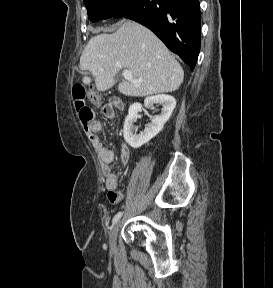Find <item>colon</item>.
<instances>
[{"instance_id":"1","label":"colon","mask_w":273,"mask_h":288,"mask_svg":"<svg viewBox=\"0 0 273 288\" xmlns=\"http://www.w3.org/2000/svg\"><path fill=\"white\" fill-rule=\"evenodd\" d=\"M72 97L77 109L79 118L82 124L87 128L94 117L93 110L86 104L85 100L87 97L86 90L81 85H75L72 89ZM92 101L95 104H99V99L96 96L92 97Z\"/></svg>"}]
</instances>
